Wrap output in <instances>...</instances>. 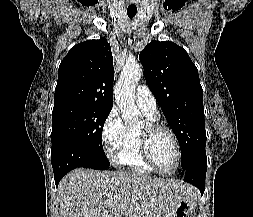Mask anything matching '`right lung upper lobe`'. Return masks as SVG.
Masks as SVG:
<instances>
[{
    "instance_id": "1",
    "label": "right lung upper lobe",
    "mask_w": 253,
    "mask_h": 217,
    "mask_svg": "<svg viewBox=\"0 0 253 217\" xmlns=\"http://www.w3.org/2000/svg\"><path fill=\"white\" fill-rule=\"evenodd\" d=\"M58 72L54 105L79 102L113 106V57L105 38L72 47Z\"/></svg>"
}]
</instances>
